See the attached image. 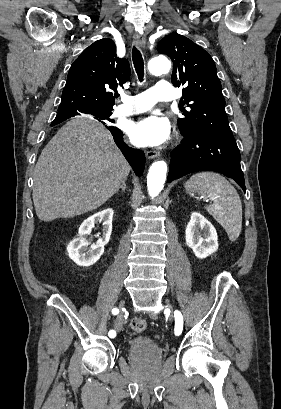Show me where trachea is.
<instances>
[{
	"label": "trachea",
	"mask_w": 281,
	"mask_h": 409,
	"mask_svg": "<svg viewBox=\"0 0 281 409\" xmlns=\"http://www.w3.org/2000/svg\"><path fill=\"white\" fill-rule=\"evenodd\" d=\"M132 59L139 81L142 82L144 77V61L141 52L135 46L132 49Z\"/></svg>",
	"instance_id": "trachea-1"
}]
</instances>
